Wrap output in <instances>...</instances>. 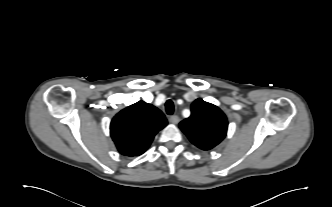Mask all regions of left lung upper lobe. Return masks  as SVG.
I'll use <instances>...</instances> for the list:
<instances>
[{
    "instance_id": "5c2ea615",
    "label": "left lung upper lobe",
    "mask_w": 332,
    "mask_h": 207,
    "mask_svg": "<svg viewBox=\"0 0 332 207\" xmlns=\"http://www.w3.org/2000/svg\"><path fill=\"white\" fill-rule=\"evenodd\" d=\"M179 127L195 146L209 150L226 136L228 121L219 107L199 98L191 105V116Z\"/></svg>"
}]
</instances>
